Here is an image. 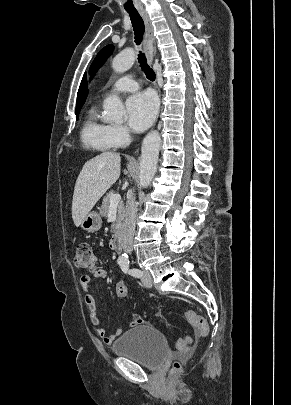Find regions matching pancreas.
Returning <instances> with one entry per match:
<instances>
[{"instance_id": "pancreas-1", "label": "pancreas", "mask_w": 291, "mask_h": 405, "mask_svg": "<svg viewBox=\"0 0 291 405\" xmlns=\"http://www.w3.org/2000/svg\"><path fill=\"white\" fill-rule=\"evenodd\" d=\"M114 194V191H110L109 193L106 194V196L103 198L102 205L100 208V215L103 217H107L109 207H110V198ZM125 216V208H124V203L120 202L117 207V219L116 221L111 225V232L113 234H117L121 228L122 222L124 220Z\"/></svg>"}]
</instances>
